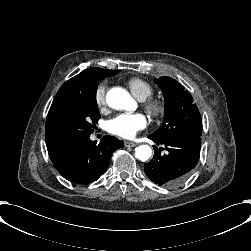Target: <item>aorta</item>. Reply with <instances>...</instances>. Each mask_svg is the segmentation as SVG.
<instances>
[{"instance_id": "obj_1", "label": "aorta", "mask_w": 251, "mask_h": 251, "mask_svg": "<svg viewBox=\"0 0 251 251\" xmlns=\"http://www.w3.org/2000/svg\"><path fill=\"white\" fill-rule=\"evenodd\" d=\"M106 102L113 109L130 111L134 109L135 101L126 90L116 87L108 91ZM151 155L152 149L149 145H140L135 148V158L141 161H147Z\"/></svg>"}]
</instances>
